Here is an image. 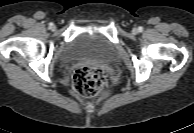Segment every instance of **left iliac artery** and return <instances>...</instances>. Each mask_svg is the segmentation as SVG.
I'll return each instance as SVG.
<instances>
[{"label":"left iliac artery","instance_id":"obj_1","mask_svg":"<svg viewBox=\"0 0 194 133\" xmlns=\"http://www.w3.org/2000/svg\"><path fill=\"white\" fill-rule=\"evenodd\" d=\"M138 30H139L140 32H142V31H143V28H142V27H139Z\"/></svg>","mask_w":194,"mask_h":133}]
</instances>
